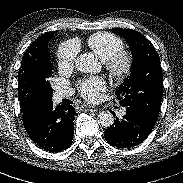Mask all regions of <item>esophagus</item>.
Segmentation results:
<instances>
[{
	"instance_id": "esophagus-1",
	"label": "esophagus",
	"mask_w": 183,
	"mask_h": 183,
	"mask_svg": "<svg viewBox=\"0 0 183 183\" xmlns=\"http://www.w3.org/2000/svg\"><path fill=\"white\" fill-rule=\"evenodd\" d=\"M83 108H85V109H89L90 111H97L98 109L96 108V107H94V106H84Z\"/></svg>"
}]
</instances>
